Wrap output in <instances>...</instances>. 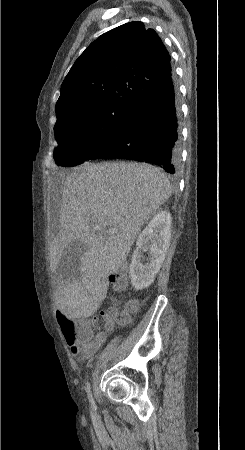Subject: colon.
I'll list each match as a JSON object with an SVG mask.
<instances>
[{
	"instance_id": "5ec220e1",
	"label": "colon",
	"mask_w": 245,
	"mask_h": 450,
	"mask_svg": "<svg viewBox=\"0 0 245 450\" xmlns=\"http://www.w3.org/2000/svg\"><path fill=\"white\" fill-rule=\"evenodd\" d=\"M128 274L125 270H120L111 280L113 288L115 291H122L127 283ZM127 309L129 311H134L136 309V302H129L127 305ZM107 313L103 312V315ZM128 322V314L120 315L116 323L119 325H125ZM57 323L60 331L62 332L64 338L67 342H72L73 340L77 341H86L89 340L92 336V324L85 320H78L66 314H58Z\"/></svg>"
}]
</instances>
